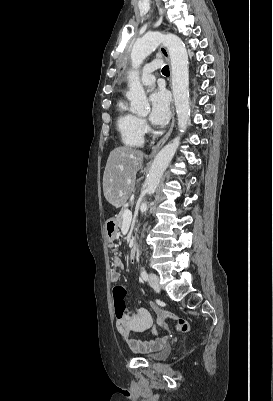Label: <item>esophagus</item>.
<instances>
[{"label":"esophagus","instance_id":"obj_1","mask_svg":"<svg viewBox=\"0 0 273 401\" xmlns=\"http://www.w3.org/2000/svg\"><path fill=\"white\" fill-rule=\"evenodd\" d=\"M159 51L163 55V57L169 62V54L166 48L161 45ZM174 123H175V110L174 107H172V121L170 128L168 132L163 136V138H161V140L155 145V147L153 148L152 152L149 155V158H152L157 153V151L160 150V148L164 145V143L168 140L173 131Z\"/></svg>","mask_w":273,"mask_h":401}]
</instances>
